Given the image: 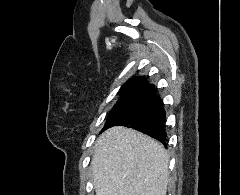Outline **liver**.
Returning a JSON list of instances; mask_svg holds the SVG:
<instances>
[{
  "instance_id": "6515ba94",
  "label": "liver",
  "mask_w": 240,
  "mask_h": 195,
  "mask_svg": "<svg viewBox=\"0 0 240 195\" xmlns=\"http://www.w3.org/2000/svg\"><path fill=\"white\" fill-rule=\"evenodd\" d=\"M169 155L160 141L110 127L97 139L91 161L96 195H166Z\"/></svg>"
}]
</instances>
